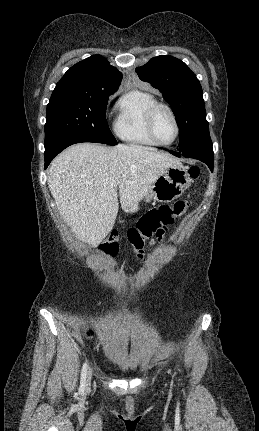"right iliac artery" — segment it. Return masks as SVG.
<instances>
[{"label": "right iliac artery", "instance_id": "obj_1", "mask_svg": "<svg viewBox=\"0 0 259 431\" xmlns=\"http://www.w3.org/2000/svg\"><path fill=\"white\" fill-rule=\"evenodd\" d=\"M86 376H87V362L83 364L82 370H81V381H80V390L84 391L85 383H86Z\"/></svg>", "mask_w": 259, "mask_h": 431}]
</instances>
